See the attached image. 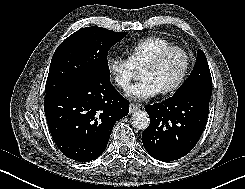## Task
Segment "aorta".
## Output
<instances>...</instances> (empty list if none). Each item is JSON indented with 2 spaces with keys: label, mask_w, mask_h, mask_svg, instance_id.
<instances>
[{
  "label": "aorta",
  "mask_w": 245,
  "mask_h": 189,
  "mask_svg": "<svg viewBox=\"0 0 245 189\" xmlns=\"http://www.w3.org/2000/svg\"><path fill=\"white\" fill-rule=\"evenodd\" d=\"M149 116L145 111H136L132 115V125L138 130H145L149 126Z\"/></svg>",
  "instance_id": "aorta-1"
}]
</instances>
